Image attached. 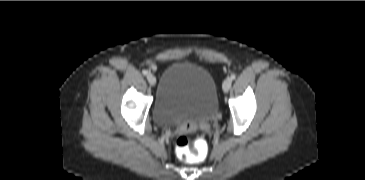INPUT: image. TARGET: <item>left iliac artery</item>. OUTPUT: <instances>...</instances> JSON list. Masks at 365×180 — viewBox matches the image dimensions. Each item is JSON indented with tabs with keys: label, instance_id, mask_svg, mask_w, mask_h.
<instances>
[{
	"label": "left iliac artery",
	"instance_id": "obj_1",
	"mask_svg": "<svg viewBox=\"0 0 365 180\" xmlns=\"http://www.w3.org/2000/svg\"><path fill=\"white\" fill-rule=\"evenodd\" d=\"M236 78V75L235 74H232L231 75V79L234 80Z\"/></svg>",
	"mask_w": 365,
	"mask_h": 180
}]
</instances>
